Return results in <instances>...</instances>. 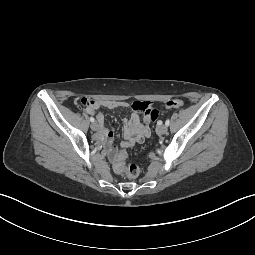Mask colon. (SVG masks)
I'll return each instance as SVG.
<instances>
[{
  "mask_svg": "<svg viewBox=\"0 0 255 255\" xmlns=\"http://www.w3.org/2000/svg\"><path fill=\"white\" fill-rule=\"evenodd\" d=\"M81 102L86 107L97 104V101L91 98H83ZM183 106L184 102L180 99L169 100L165 103L167 108H181ZM126 160L127 153L124 149L114 152V171L130 179L136 178L139 175V168L135 164L127 165Z\"/></svg>",
  "mask_w": 255,
  "mask_h": 255,
  "instance_id": "colon-1",
  "label": "colon"
}]
</instances>
